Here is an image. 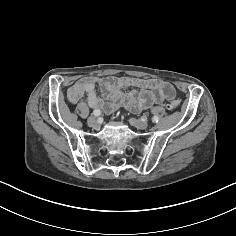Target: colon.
I'll list each match as a JSON object with an SVG mask.
<instances>
[{
	"label": "colon",
	"mask_w": 236,
	"mask_h": 236,
	"mask_svg": "<svg viewBox=\"0 0 236 236\" xmlns=\"http://www.w3.org/2000/svg\"><path fill=\"white\" fill-rule=\"evenodd\" d=\"M180 105V100L179 99H174L169 105V109H175Z\"/></svg>",
	"instance_id": "1"
}]
</instances>
